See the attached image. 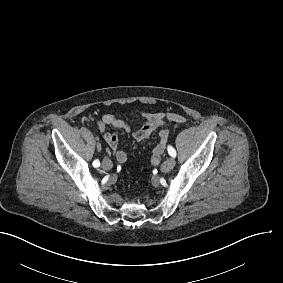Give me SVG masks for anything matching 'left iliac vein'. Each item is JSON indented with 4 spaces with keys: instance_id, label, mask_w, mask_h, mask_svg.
Instances as JSON below:
<instances>
[{
    "instance_id": "4c4485c4",
    "label": "left iliac vein",
    "mask_w": 283,
    "mask_h": 283,
    "mask_svg": "<svg viewBox=\"0 0 283 283\" xmlns=\"http://www.w3.org/2000/svg\"><path fill=\"white\" fill-rule=\"evenodd\" d=\"M174 165H175V158L174 157H169L161 165V170L163 172H169L174 167Z\"/></svg>"
}]
</instances>
